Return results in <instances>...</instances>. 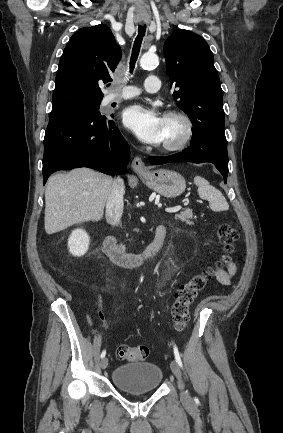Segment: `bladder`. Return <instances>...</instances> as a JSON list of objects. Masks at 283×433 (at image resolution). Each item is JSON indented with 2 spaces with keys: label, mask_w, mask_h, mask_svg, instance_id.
Here are the masks:
<instances>
[{
  "label": "bladder",
  "mask_w": 283,
  "mask_h": 433,
  "mask_svg": "<svg viewBox=\"0 0 283 433\" xmlns=\"http://www.w3.org/2000/svg\"><path fill=\"white\" fill-rule=\"evenodd\" d=\"M162 376L155 363L137 362L116 368L113 383L125 393L147 392L160 387Z\"/></svg>",
  "instance_id": "31cf9c89"
}]
</instances>
